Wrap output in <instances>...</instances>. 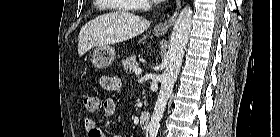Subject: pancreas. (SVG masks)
Masks as SVG:
<instances>
[{
	"label": "pancreas",
	"mask_w": 280,
	"mask_h": 137,
	"mask_svg": "<svg viewBox=\"0 0 280 137\" xmlns=\"http://www.w3.org/2000/svg\"><path fill=\"white\" fill-rule=\"evenodd\" d=\"M122 64H123L124 71L128 72L129 74H132L135 71V69L138 67V63L134 55H131L130 57L123 60Z\"/></svg>",
	"instance_id": "cf45deb5"
}]
</instances>
